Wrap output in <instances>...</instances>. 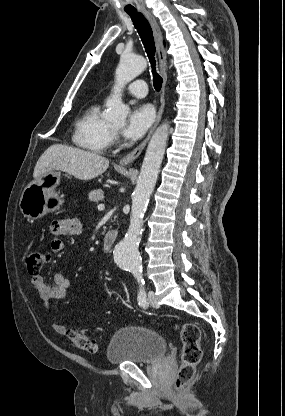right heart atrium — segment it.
Here are the masks:
<instances>
[{
    "instance_id": "right-heart-atrium-1",
    "label": "right heart atrium",
    "mask_w": 285,
    "mask_h": 416,
    "mask_svg": "<svg viewBox=\"0 0 285 416\" xmlns=\"http://www.w3.org/2000/svg\"><path fill=\"white\" fill-rule=\"evenodd\" d=\"M116 139V135L115 134H112V137H111V140H115Z\"/></svg>"
}]
</instances>
